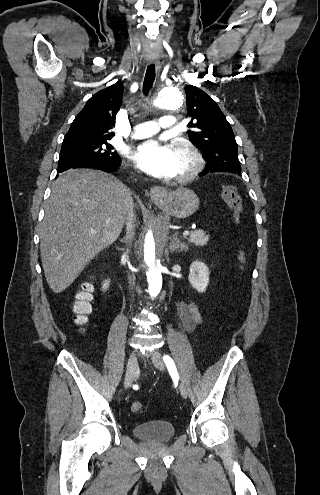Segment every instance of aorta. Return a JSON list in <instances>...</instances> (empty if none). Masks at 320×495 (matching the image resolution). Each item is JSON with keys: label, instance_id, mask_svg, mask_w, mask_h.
Listing matches in <instances>:
<instances>
[{"label": "aorta", "instance_id": "762f6f07", "mask_svg": "<svg viewBox=\"0 0 320 495\" xmlns=\"http://www.w3.org/2000/svg\"><path fill=\"white\" fill-rule=\"evenodd\" d=\"M183 103L182 95L173 88L164 89L153 100L155 108L174 110ZM167 222L164 218H157L148 227L142 249V265L146 268L148 291L151 297H156L162 289V275L160 257L163 247L167 244Z\"/></svg>", "mask_w": 320, "mask_h": 495}]
</instances>
